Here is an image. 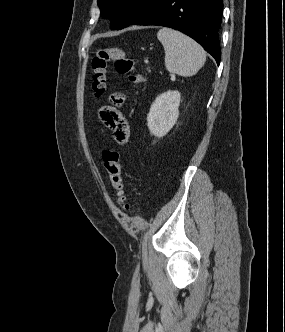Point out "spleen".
<instances>
[{
    "mask_svg": "<svg viewBox=\"0 0 285 332\" xmlns=\"http://www.w3.org/2000/svg\"><path fill=\"white\" fill-rule=\"evenodd\" d=\"M165 51V67L173 74L184 77L195 75L206 61V52L187 35L164 27L157 33Z\"/></svg>",
    "mask_w": 285,
    "mask_h": 332,
    "instance_id": "1",
    "label": "spleen"
}]
</instances>
